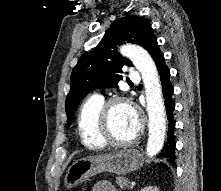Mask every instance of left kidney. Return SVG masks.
Returning a JSON list of instances; mask_svg holds the SVG:
<instances>
[{"label":"left kidney","instance_id":"1","mask_svg":"<svg viewBox=\"0 0 221 191\" xmlns=\"http://www.w3.org/2000/svg\"><path fill=\"white\" fill-rule=\"evenodd\" d=\"M141 191H159V190L157 187L147 186V187L141 189Z\"/></svg>","mask_w":221,"mask_h":191}]
</instances>
